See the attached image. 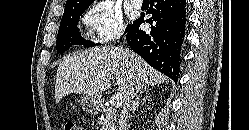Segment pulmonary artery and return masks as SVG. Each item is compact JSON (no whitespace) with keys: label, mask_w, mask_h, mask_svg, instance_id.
I'll return each mask as SVG.
<instances>
[{"label":"pulmonary artery","mask_w":249,"mask_h":130,"mask_svg":"<svg viewBox=\"0 0 249 130\" xmlns=\"http://www.w3.org/2000/svg\"><path fill=\"white\" fill-rule=\"evenodd\" d=\"M131 2L136 8H140L142 6L143 0H131Z\"/></svg>","instance_id":"1"}]
</instances>
